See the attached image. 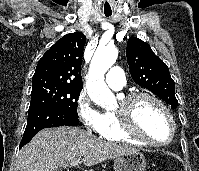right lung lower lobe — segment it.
<instances>
[{
    "instance_id": "1",
    "label": "right lung lower lobe",
    "mask_w": 199,
    "mask_h": 171,
    "mask_svg": "<svg viewBox=\"0 0 199 171\" xmlns=\"http://www.w3.org/2000/svg\"><path fill=\"white\" fill-rule=\"evenodd\" d=\"M78 124V117L56 105L44 103L30 106L28 110L27 126L20 142V148L27 144L37 132L44 128L64 125L76 126Z\"/></svg>"
}]
</instances>
